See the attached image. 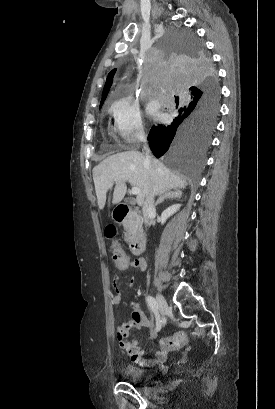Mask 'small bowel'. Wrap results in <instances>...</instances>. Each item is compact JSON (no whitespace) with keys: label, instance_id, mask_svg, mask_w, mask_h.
Wrapping results in <instances>:
<instances>
[{"label":"small bowel","instance_id":"obj_1","mask_svg":"<svg viewBox=\"0 0 275 409\" xmlns=\"http://www.w3.org/2000/svg\"><path fill=\"white\" fill-rule=\"evenodd\" d=\"M126 270L129 268H142L143 265L142 263H139L138 261H133L129 260L128 264L125 265ZM112 279L115 280L113 282V287L114 288H119L120 287V279H119V274L118 273H113L112 274ZM128 283L133 285L135 283V278L134 277H129L128 278ZM122 296L120 293V290L117 289L116 295L113 298V302L115 304L121 303ZM131 307H134L133 309L130 310V317L134 319H128L126 322V325H121L120 326V332L118 335V340L120 341V349L122 351H131L130 353V358L139 364L140 366H145L149 367L152 365H155L156 363H164L167 359V351L165 349H160L156 353V357L154 359H150L144 356L143 352L140 350V348L137 346L138 345V338L137 337H130L128 339L127 335L129 333V328H148L151 325V320L148 319L142 312L139 313L140 311V303L138 301L131 302L130 303ZM144 318V319H143Z\"/></svg>","mask_w":275,"mask_h":409}]
</instances>
